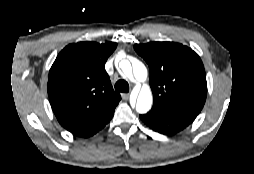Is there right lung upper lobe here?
Segmentation results:
<instances>
[{
	"label": "right lung upper lobe",
	"mask_w": 254,
	"mask_h": 174,
	"mask_svg": "<svg viewBox=\"0 0 254 174\" xmlns=\"http://www.w3.org/2000/svg\"><path fill=\"white\" fill-rule=\"evenodd\" d=\"M114 42H80L66 46L54 61L48 96L59 123L68 131L114 109L121 96L105 71Z\"/></svg>",
	"instance_id": "obj_1"
}]
</instances>
